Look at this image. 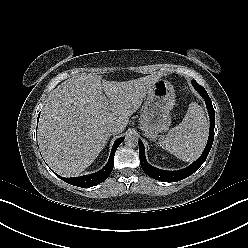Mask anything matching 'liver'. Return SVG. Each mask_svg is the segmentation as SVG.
<instances>
[{
	"label": "liver",
	"instance_id": "1",
	"mask_svg": "<svg viewBox=\"0 0 248 248\" xmlns=\"http://www.w3.org/2000/svg\"><path fill=\"white\" fill-rule=\"evenodd\" d=\"M162 75L114 82L83 73L61 83L50 94L38 127L47 164L66 177L83 172L107 143V125H117L122 132ZM102 91L108 97L107 108Z\"/></svg>",
	"mask_w": 248,
	"mask_h": 248
}]
</instances>
